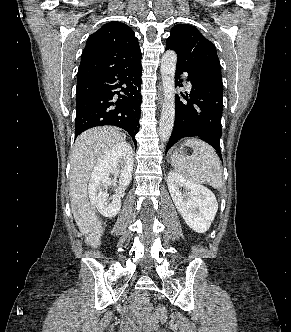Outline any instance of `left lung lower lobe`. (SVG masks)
Here are the masks:
<instances>
[{"instance_id": "0a47b994", "label": "left lung lower lobe", "mask_w": 291, "mask_h": 332, "mask_svg": "<svg viewBox=\"0 0 291 332\" xmlns=\"http://www.w3.org/2000/svg\"><path fill=\"white\" fill-rule=\"evenodd\" d=\"M188 73L192 84L190 94L175 97V123L166 152L179 139L200 137L211 145L222 160L220 138L222 135L221 117L223 111V84L220 74L215 72L191 73L177 64L176 85L182 86L179 75Z\"/></svg>"}]
</instances>
